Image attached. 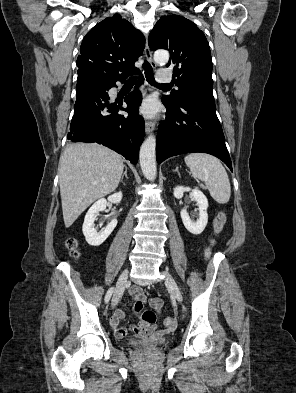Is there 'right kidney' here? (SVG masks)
Listing matches in <instances>:
<instances>
[{
  "label": "right kidney",
  "mask_w": 296,
  "mask_h": 393,
  "mask_svg": "<svg viewBox=\"0 0 296 393\" xmlns=\"http://www.w3.org/2000/svg\"><path fill=\"white\" fill-rule=\"evenodd\" d=\"M122 192L115 193L108 197V199H99L95 202L86 213L82 231L85 236L87 243L91 246H100L112 233L117 225V219H112L110 223L100 232L94 228V222L99 212L104 211L107 206V201L118 204L122 200Z\"/></svg>",
  "instance_id": "ca27d5eb"
}]
</instances>
